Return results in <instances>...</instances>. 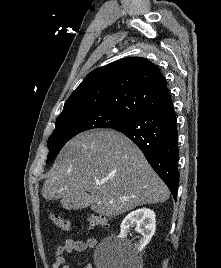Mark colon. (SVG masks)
Listing matches in <instances>:
<instances>
[{
	"label": "colon",
	"instance_id": "5ec220e1",
	"mask_svg": "<svg viewBox=\"0 0 221 268\" xmlns=\"http://www.w3.org/2000/svg\"><path fill=\"white\" fill-rule=\"evenodd\" d=\"M49 217L51 219V221L53 222V224L59 228L62 231H69L71 229V224L70 222L61 217L58 214H54V213H49ZM88 225L90 228H94V227H107L108 226V221L107 219L99 214H93L88 218Z\"/></svg>",
	"mask_w": 221,
	"mask_h": 268
}]
</instances>
